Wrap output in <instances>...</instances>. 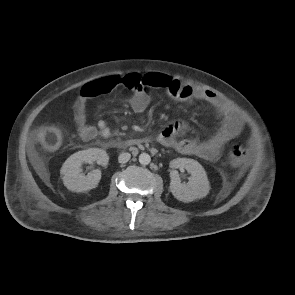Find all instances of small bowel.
I'll return each mask as SVG.
<instances>
[{
  "mask_svg": "<svg viewBox=\"0 0 295 295\" xmlns=\"http://www.w3.org/2000/svg\"><path fill=\"white\" fill-rule=\"evenodd\" d=\"M124 76H107L82 86L74 104V121L82 139L91 140L97 136L109 139L113 135L105 120H99L96 125L88 121V104L91 99L110 92L117 85L126 87L123 84ZM138 77L140 86L130 89L132 94L129 104L134 112L143 113L150 101V91L163 88L170 97L185 105H190L195 99L209 103L220 119L217 131L202 141L190 138L178 139V134L186 128V125L181 121L169 122L157 137L161 145L174 148L182 154L195 155L212 161L219 158L227 142L240 133L243 125L241 116L214 92L158 72H149Z\"/></svg>",
  "mask_w": 295,
  "mask_h": 295,
  "instance_id": "1",
  "label": "small bowel"
}]
</instances>
